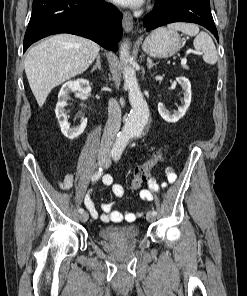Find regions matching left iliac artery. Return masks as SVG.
<instances>
[{"label":"left iliac artery","mask_w":247,"mask_h":296,"mask_svg":"<svg viewBox=\"0 0 247 296\" xmlns=\"http://www.w3.org/2000/svg\"><path fill=\"white\" fill-rule=\"evenodd\" d=\"M120 157H121V152H115L114 157H113L114 160H115V161H118V160L120 159ZM152 213H153L154 215H157V212H156L155 210H153Z\"/></svg>","instance_id":"44dca946"}]
</instances>
